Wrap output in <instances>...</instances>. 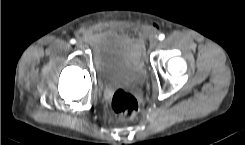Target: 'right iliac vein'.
<instances>
[{"instance_id":"obj_1","label":"right iliac vein","mask_w":245,"mask_h":145,"mask_svg":"<svg viewBox=\"0 0 245 145\" xmlns=\"http://www.w3.org/2000/svg\"><path fill=\"white\" fill-rule=\"evenodd\" d=\"M76 47L79 48V49H81V48L84 47V43L82 41H77L76 42Z\"/></svg>"}]
</instances>
